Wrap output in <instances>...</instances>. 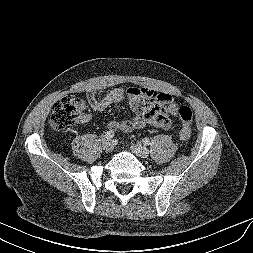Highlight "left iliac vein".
<instances>
[{
	"label": "left iliac vein",
	"instance_id": "1",
	"mask_svg": "<svg viewBox=\"0 0 253 253\" xmlns=\"http://www.w3.org/2000/svg\"><path fill=\"white\" fill-rule=\"evenodd\" d=\"M131 150L141 158H147L149 156L148 149L140 143L133 144Z\"/></svg>",
	"mask_w": 253,
	"mask_h": 253
}]
</instances>
